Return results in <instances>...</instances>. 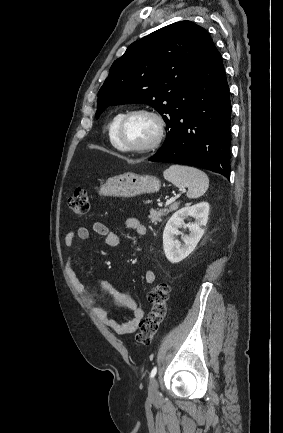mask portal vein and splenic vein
I'll return each instance as SVG.
<instances>
[{"instance_id": "1", "label": "portal vein and splenic vein", "mask_w": 283, "mask_h": 433, "mask_svg": "<svg viewBox=\"0 0 283 433\" xmlns=\"http://www.w3.org/2000/svg\"><path fill=\"white\" fill-rule=\"evenodd\" d=\"M167 202H174V200H171V198H170V200H167Z\"/></svg>"}]
</instances>
